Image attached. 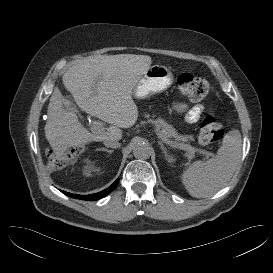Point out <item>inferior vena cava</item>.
I'll use <instances>...</instances> for the list:
<instances>
[{"label": "inferior vena cava", "instance_id": "1", "mask_svg": "<svg viewBox=\"0 0 273 273\" xmlns=\"http://www.w3.org/2000/svg\"><path fill=\"white\" fill-rule=\"evenodd\" d=\"M104 145L106 147H111V148H119L121 146V144L119 143L118 140L114 139V138H106L104 140Z\"/></svg>", "mask_w": 273, "mask_h": 273}]
</instances>
